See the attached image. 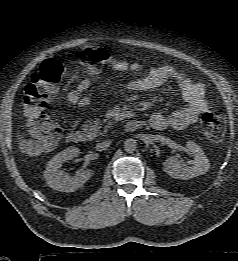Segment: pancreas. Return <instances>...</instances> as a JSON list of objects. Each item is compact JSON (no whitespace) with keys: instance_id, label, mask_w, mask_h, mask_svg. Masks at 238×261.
<instances>
[{"instance_id":"1","label":"pancreas","mask_w":238,"mask_h":261,"mask_svg":"<svg viewBox=\"0 0 238 261\" xmlns=\"http://www.w3.org/2000/svg\"><path fill=\"white\" fill-rule=\"evenodd\" d=\"M107 123L105 128L101 130L103 124ZM113 125V122L108 121L107 119L101 121L100 119H95L93 122H86L83 125V131L86 132L87 136L91 139L101 135L103 132H107L108 128Z\"/></svg>"}]
</instances>
